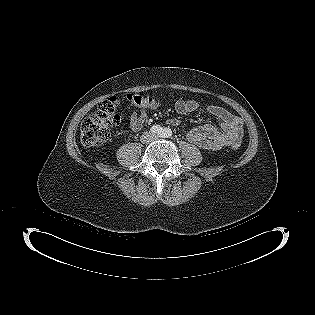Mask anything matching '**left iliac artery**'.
I'll use <instances>...</instances> for the list:
<instances>
[{
  "label": "left iliac artery",
  "instance_id": "obj_1",
  "mask_svg": "<svg viewBox=\"0 0 315 315\" xmlns=\"http://www.w3.org/2000/svg\"><path fill=\"white\" fill-rule=\"evenodd\" d=\"M172 135H173V132L169 128H164L160 134V136L164 138L172 137Z\"/></svg>",
  "mask_w": 315,
  "mask_h": 315
}]
</instances>
